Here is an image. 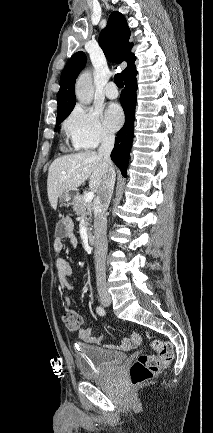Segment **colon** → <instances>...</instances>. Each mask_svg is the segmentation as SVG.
I'll use <instances>...</instances> for the list:
<instances>
[{"instance_id":"obj_1","label":"colon","mask_w":213,"mask_h":433,"mask_svg":"<svg viewBox=\"0 0 213 433\" xmlns=\"http://www.w3.org/2000/svg\"><path fill=\"white\" fill-rule=\"evenodd\" d=\"M62 322L69 333L75 334L81 329L82 317L76 311H66ZM150 347L156 354L141 355L130 367V381L133 386H139L154 378L174 358L173 346L169 342L152 340Z\"/></svg>"}]
</instances>
